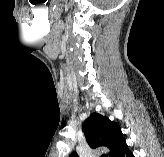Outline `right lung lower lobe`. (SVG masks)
Here are the masks:
<instances>
[{
    "label": "right lung lower lobe",
    "instance_id": "1",
    "mask_svg": "<svg viewBox=\"0 0 164 157\" xmlns=\"http://www.w3.org/2000/svg\"><path fill=\"white\" fill-rule=\"evenodd\" d=\"M114 157H134V155L132 154V152L129 151L128 146L124 141V143L118 149Z\"/></svg>",
    "mask_w": 164,
    "mask_h": 157
}]
</instances>
